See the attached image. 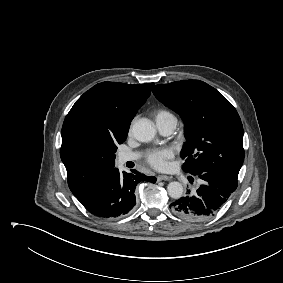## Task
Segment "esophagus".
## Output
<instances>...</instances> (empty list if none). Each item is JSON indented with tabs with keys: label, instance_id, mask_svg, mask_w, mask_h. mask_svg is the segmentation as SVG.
Instances as JSON below:
<instances>
[{
	"label": "esophagus",
	"instance_id": "esophagus-1",
	"mask_svg": "<svg viewBox=\"0 0 283 283\" xmlns=\"http://www.w3.org/2000/svg\"><path fill=\"white\" fill-rule=\"evenodd\" d=\"M170 179H171V177H169L167 175H159V176H157V181H168Z\"/></svg>",
	"mask_w": 283,
	"mask_h": 283
}]
</instances>
